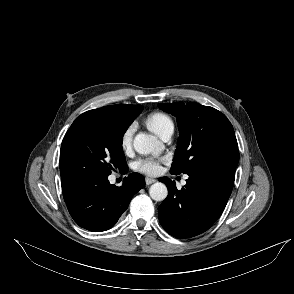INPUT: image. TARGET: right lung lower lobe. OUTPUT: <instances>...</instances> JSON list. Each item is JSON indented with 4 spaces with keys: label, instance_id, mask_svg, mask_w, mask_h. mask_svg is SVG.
<instances>
[{
    "label": "right lung lower lobe",
    "instance_id": "98d812e1",
    "mask_svg": "<svg viewBox=\"0 0 294 294\" xmlns=\"http://www.w3.org/2000/svg\"><path fill=\"white\" fill-rule=\"evenodd\" d=\"M144 186V177L131 173L121 187L110 184L106 176H99L68 180L62 183V192L74 221L82 228L100 232L115 225L134 194Z\"/></svg>",
    "mask_w": 294,
    "mask_h": 294
}]
</instances>
